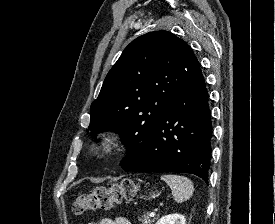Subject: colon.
Returning <instances> with one entry per match:
<instances>
[{
	"label": "colon",
	"instance_id": "obj_1",
	"mask_svg": "<svg viewBox=\"0 0 275 224\" xmlns=\"http://www.w3.org/2000/svg\"><path fill=\"white\" fill-rule=\"evenodd\" d=\"M138 190V184L131 179L120 183H111L97 187L88 194L79 195L73 203V212L83 215L97 210H110L115 204L132 201Z\"/></svg>",
	"mask_w": 275,
	"mask_h": 224
}]
</instances>
